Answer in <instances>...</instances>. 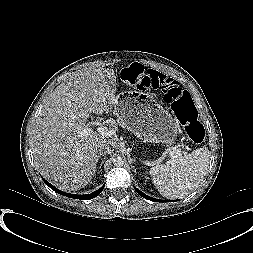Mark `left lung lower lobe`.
<instances>
[{
	"label": "left lung lower lobe",
	"instance_id": "0a47b994",
	"mask_svg": "<svg viewBox=\"0 0 253 253\" xmlns=\"http://www.w3.org/2000/svg\"><path fill=\"white\" fill-rule=\"evenodd\" d=\"M134 189H135V191H136L139 195H141V196L144 197L145 199H148V200H150V201H155V202H166V201H162V200H157V199H155V198H151V197L145 195L144 193H142V192H141L140 190H138L136 187H134ZM167 202H169V201H167Z\"/></svg>",
	"mask_w": 253,
	"mask_h": 253
}]
</instances>
